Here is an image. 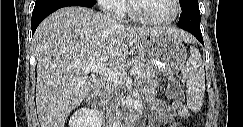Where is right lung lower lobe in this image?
<instances>
[{
	"label": "right lung lower lobe",
	"mask_w": 243,
	"mask_h": 127,
	"mask_svg": "<svg viewBox=\"0 0 243 127\" xmlns=\"http://www.w3.org/2000/svg\"><path fill=\"white\" fill-rule=\"evenodd\" d=\"M67 6H82L92 8L94 6V3H92L90 0H36L35 7L32 13V34H34L38 25L49 14L59 8Z\"/></svg>",
	"instance_id": "1"
}]
</instances>
